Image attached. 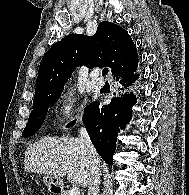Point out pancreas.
<instances>
[{
    "label": "pancreas",
    "instance_id": "1",
    "mask_svg": "<svg viewBox=\"0 0 189 195\" xmlns=\"http://www.w3.org/2000/svg\"><path fill=\"white\" fill-rule=\"evenodd\" d=\"M60 195H69V192L68 191H66V190H64V191H62L61 192V194Z\"/></svg>",
    "mask_w": 189,
    "mask_h": 195
}]
</instances>
